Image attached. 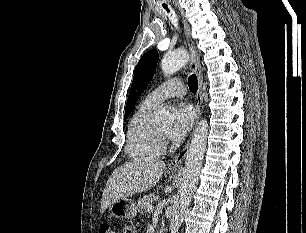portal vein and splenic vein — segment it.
Wrapping results in <instances>:
<instances>
[{"label": "portal vein and splenic vein", "mask_w": 306, "mask_h": 233, "mask_svg": "<svg viewBox=\"0 0 306 233\" xmlns=\"http://www.w3.org/2000/svg\"><path fill=\"white\" fill-rule=\"evenodd\" d=\"M154 210V207L152 206V205H149L148 207H147V211L148 212H152Z\"/></svg>", "instance_id": "obj_1"}]
</instances>
